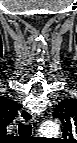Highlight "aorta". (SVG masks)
Wrapping results in <instances>:
<instances>
[{
    "instance_id": "762f6f07",
    "label": "aorta",
    "mask_w": 77,
    "mask_h": 143,
    "mask_svg": "<svg viewBox=\"0 0 77 143\" xmlns=\"http://www.w3.org/2000/svg\"><path fill=\"white\" fill-rule=\"evenodd\" d=\"M60 127L56 122L46 121L40 127L41 134L45 136H56L59 134Z\"/></svg>"
}]
</instances>
